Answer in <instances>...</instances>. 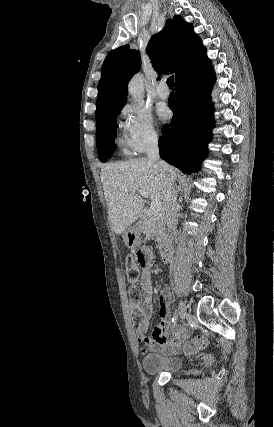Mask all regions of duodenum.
Here are the masks:
<instances>
[{
	"mask_svg": "<svg viewBox=\"0 0 274 427\" xmlns=\"http://www.w3.org/2000/svg\"><path fill=\"white\" fill-rule=\"evenodd\" d=\"M159 252L163 261L169 260V245L166 242L160 243Z\"/></svg>",
	"mask_w": 274,
	"mask_h": 427,
	"instance_id": "410a0bca",
	"label": "duodenum"
}]
</instances>
